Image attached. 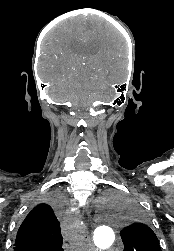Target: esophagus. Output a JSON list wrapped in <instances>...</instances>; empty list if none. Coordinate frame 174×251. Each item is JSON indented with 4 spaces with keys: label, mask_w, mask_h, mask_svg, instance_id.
<instances>
[{
    "label": "esophagus",
    "mask_w": 174,
    "mask_h": 251,
    "mask_svg": "<svg viewBox=\"0 0 174 251\" xmlns=\"http://www.w3.org/2000/svg\"><path fill=\"white\" fill-rule=\"evenodd\" d=\"M85 236H86L87 247H91V239L87 230L85 231Z\"/></svg>",
    "instance_id": "esophagus-1"
}]
</instances>
